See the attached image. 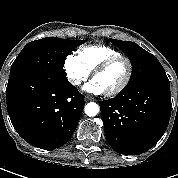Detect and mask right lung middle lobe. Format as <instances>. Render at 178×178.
<instances>
[{
	"label": "right lung middle lobe",
	"mask_w": 178,
	"mask_h": 178,
	"mask_svg": "<svg viewBox=\"0 0 178 178\" xmlns=\"http://www.w3.org/2000/svg\"><path fill=\"white\" fill-rule=\"evenodd\" d=\"M82 40H66L46 37L28 43L13 62L10 75L13 73H38L53 71L66 76L63 69L65 59Z\"/></svg>",
	"instance_id": "1"
}]
</instances>
